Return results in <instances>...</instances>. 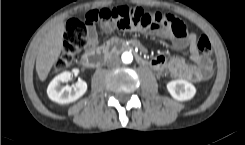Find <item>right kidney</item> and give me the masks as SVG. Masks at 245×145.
Returning <instances> with one entry per match:
<instances>
[{"label": "right kidney", "mask_w": 245, "mask_h": 145, "mask_svg": "<svg viewBox=\"0 0 245 145\" xmlns=\"http://www.w3.org/2000/svg\"><path fill=\"white\" fill-rule=\"evenodd\" d=\"M78 73V69H73L72 72L64 71L57 75L48 85V97L59 104H67L83 96L87 91V83L84 80H79L74 86H62V83L68 82L73 74Z\"/></svg>", "instance_id": "1"}]
</instances>
